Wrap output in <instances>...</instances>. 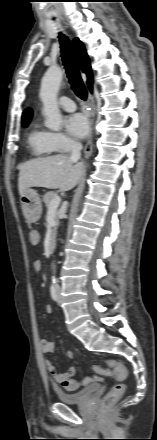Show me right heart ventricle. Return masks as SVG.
Listing matches in <instances>:
<instances>
[{"label":"right heart ventricle","mask_w":157,"mask_h":440,"mask_svg":"<svg viewBox=\"0 0 157 440\" xmlns=\"http://www.w3.org/2000/svg\"><path fill=\"white\" fill-rule=\"evenodd\" d=\"M27 144L35 156L49 155L55 151L50 139V132L34 121L27 135Z\"/></svg>","instance_id":"right-heart-ventricle-1"}]
</instances>
